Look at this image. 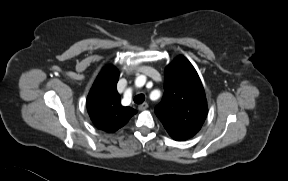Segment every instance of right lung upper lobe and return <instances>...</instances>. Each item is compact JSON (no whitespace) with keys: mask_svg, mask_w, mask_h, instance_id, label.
Segmentation results:
<instances>
[{"mask_svg":"<svg viewBox=\"0 0 288 181\" xmlns=\"http://www.w3.org/2000/svg\"><path fill=\"white\" fill-rule=\"evenodd\" d=\"M118 79V70L109 65L98 75L87 97V110L92 122L109 133L123 127L137 113L133 108L121 105L116 89Z\"/></svg>","mask_w":288,"mask_h":181,"instance_id":"cb5924a9","label":"right lung upper lobe"}]
</instances>
